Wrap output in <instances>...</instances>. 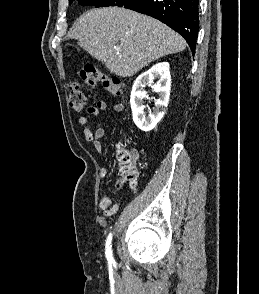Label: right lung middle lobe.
<instances>
[{
    "label": "right lung middle lobe",
    "mask_w": 259,
    "mask_h": 294,
    "mask_svg": "<svg viewBox=\"0 0 259 294\" xmlns=\"http://www.w3.org/2000/svg\"><path fill=\"white\" fill-rule=\"evenodd\" d=\"M81 5H93L95 7L118 6L122 7L130 0H77ZM73 0H69L71 4Z\"/></svg>",
    "instance_id": "right-lung-middle-lobe-1"
}]
</instances>
